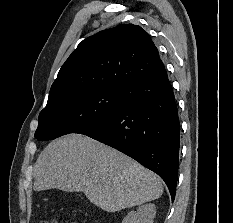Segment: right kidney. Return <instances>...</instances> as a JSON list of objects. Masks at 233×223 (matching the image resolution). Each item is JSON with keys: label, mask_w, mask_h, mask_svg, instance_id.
<instances>
[{"label": "right kidney", "mask_w": 233, "mask_h": 223, "mask_svg": "<svg viewBox=\"0 0 233 223\" xmlns=\"http://www.w3.org/2000/svg\"><path fill=\"white\" fill-rule=\"evenodd\" d=\"M155 215V203H144V205H139L137 211H129L122 223H153Z\"/></svg>", "instance_id": "1"}]
</instances>
